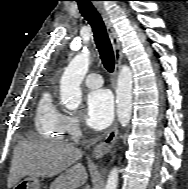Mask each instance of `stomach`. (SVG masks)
<instances>
[{
	"label": "stomach",
	"mask_w": 188,
	"mask_h": 189,
	"mask_svg": "<svg viewBox=\"0 0 188 189\" xmlns=\"http://www.w3.org/2000/svg\"><path fill=\"white\" fill-rule=\"evenodd\" d=\"M40 185L38 177L28 176L20 180L13 189H40Z\"/></svg>",
	"instance_id": "1"
}]
</instances>
